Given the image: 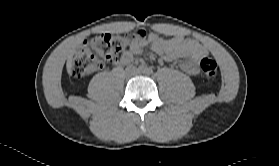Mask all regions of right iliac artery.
Instances as JSON below:
<instances>
[{
  "label": "right iliac artery",
  "instance_id": "right-iliac-artery-1",
  "mask_svg": "<svg viewBox=\"0 0 279 166\" xmlns=\"http://www.w3.org/2000/svg\"><path fill=\"white\" fill-rule=\"evenodd\" d=\"M139 68H140V70H144L145 69V67L143 65L140 66Z\"/></svg>",
  "mask_w": 279,
  "mask_h": 166
}]
</instances>
